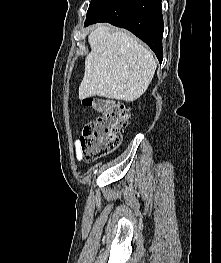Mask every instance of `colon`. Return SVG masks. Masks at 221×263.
Returning a JSON list of instances; mask_svg holds the SVG:
<instances>
[{
  "label": "colon",
  "mask_w": 221,
  "mask_h": 263,
  "mask_svg": "<svg viewBox=\"0 0 221 263\" xmlns=\"http://www.w3.org/2000/svg\"><path fill=\"white\" fill-rule=\"evenodd\" d=\"M82 104L99 113L86 124L81 145L83 157L95 160L117 147L130 112L122 103L103 97H85Z\"/></svg>",
  "instance_id": "1"
}]
</instances>
